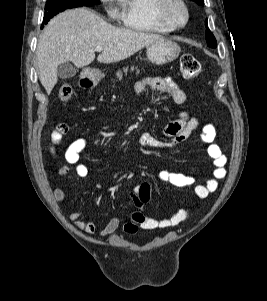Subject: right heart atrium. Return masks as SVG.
<instances>
[{"mask_svg": "<svg viewBox=\"0 0 267 301\" xmlns=\"http://www.w3.org/2000/svg\"><path fill=\"white\" fill-rule=\"evenodd\" d=\"M101 3L111 19H123L122 0H101Z\"/></svg>", "mask_w": 267, "mask_h": 301, "instance_id": "right-heart-atrium-1", "label": "right heart atrium"}]
</instances>
